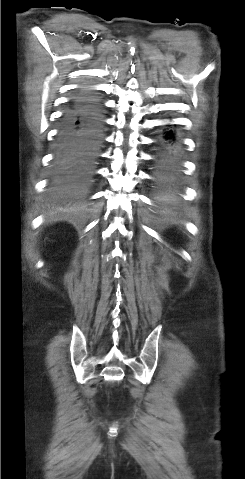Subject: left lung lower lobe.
<instances>
[{"mask_svg":"<svg viewBox=\"0 0 245 479\" xmlns=\"http://www.w3.org/2000/svg\"><path fill=\"white\" fill-rule=\"evenodd\" d=\"M160 151L157 157L159 172L157 175L158 194L167 196L175 190L173 173L176 168V142L174 135L167 133L159 143Z\"/></svg>","mask_w":245,"mask_h":479,"instance_id":"left-lung-lower-lobe-1","label":"left lung lower lobe"}]
</instances>
